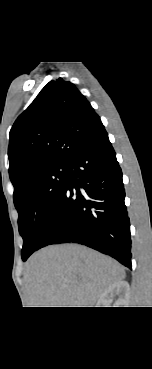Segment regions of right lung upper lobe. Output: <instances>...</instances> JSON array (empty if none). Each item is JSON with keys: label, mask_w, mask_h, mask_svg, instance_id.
<instances>
[{"label": "right lung upper lobe", "mask_w": 152, "mask_h": 369, "mask_svg": "<svg viewBox=\"0 0 152 369\" xmlns=\"http://www.w3.org/2000/svg\"><path fill=\"white\" fill-rule=\"evenodd\" d=\"M104 130L100 117L71 82L50 81L17 118L9 135V176L14 194L47 168L68 164Z\"/></svg>", "instance_id": "right-lung-upper-lobe-1"}]
</instances>
